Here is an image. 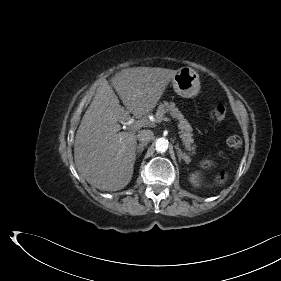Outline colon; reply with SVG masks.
<instances>
[{"mask_svg": "<svg viewBox=\"0 0 281 281\" xmlns=\"http://www.w3.org/2000/svg\"><path fill=\"white\" fill-rule=\"evenodd\" d=\"M209 116L213 121L221 122L226 117V109L222 104H218L210 111ZM226 143H227L228 147H230L232 149H238L242 145V140H241L240 136L233 134V135H230L226 139ZM205 165L209 166V165H211V162L208 161L205 163ZM226 178H227V174L223 172L217 177V182L222 183L223 181L226 180Z\"/></svg>", "mask_w": 281, "mask_h": 281, "instance_id": "obj_1", "label": "colon"}]
</instances>
